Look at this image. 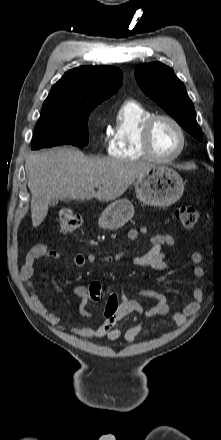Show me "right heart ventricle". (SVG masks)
<instances>
[{
	"label": "right heart ventricle",
	"mask_w": 221,
	"mask_h": 440,
	"mask_svg": "<svg viewBox=\"0 0 221 440\" xmlns=\"http://www.w3.org/2000/svg\"><path fill=\"white\" fill-rule=\"evenodd\" d=\"M152 112L139 101L125 100L119 107L108 142V153L117 159H149L141 142V127Z\"/></svg>",
	"instance_id": "right-heart-ventricle-1"
}]
</instances>
